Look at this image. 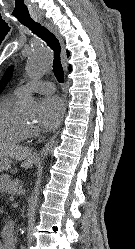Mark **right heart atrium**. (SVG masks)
Segmentation results:
<instances>
[{
  "label": "right heart atrium",
  "instance_id": "d8ad5b80",
  "mask_svg": "<svg viewBox=\"0 0 135 249\" xmlns=\"http://www.w3.org/2000/svg\"><path fill=\"white\" fill-rule=\"evenodd\" d=\"M38 133H39L38 128L33 127V126H31V127L28 128V135H30V136H36Z\"/></svg>",
  "mask_w": 135,
  "mask_h": 249
}]
</instances>
